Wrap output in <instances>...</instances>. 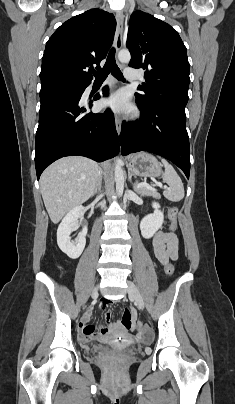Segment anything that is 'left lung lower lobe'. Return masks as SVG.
<instances>
[{
  "label": "left lung lower lobe",
  "mask_w": 235,
  "mask_h": 404,
  "mask_svg": "<svg viewBox=\"0 0 235 404\" xmlns=\"http://www.w3.org/2000/svg\"><path fill=\"white\" fill-rule=\"evenodd\" d=\"M138 105L141 110L140 119L122 123V155L139 151L158 154L181 168L189 179L190 149L186 130V105L171 101L150 106Z\"/></svg>",
  "instance_id": "left-lung-lower-lobe-1"
}]
</instances>
